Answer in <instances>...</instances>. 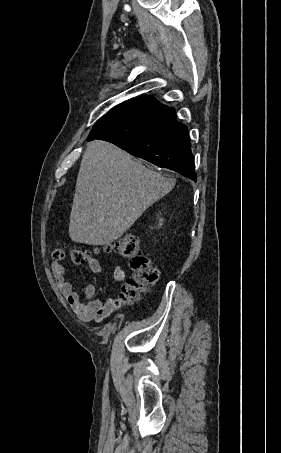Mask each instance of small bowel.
I'll use <instances>...</instances> for the list:
<instances>
[{"instance_id": "small-bowel-1", "label": "small bowel", "mask_w": 281, "mask_h": 453, "mask_svg": "<svg viewBox=\"0 0 281 453\" xmlns=\"http://www.w3.org/2000/svg\"><path fill=\"white\" fill-rule=\"evenodd\" d=\"M63 256H58L52 261V270L57 279V283L62 293L67 297L69 303L76 309L80 318L85 322L100 321L109 316L121 303L123 296L118 294L102 302L95 299L96 284L89 283L85 287L86 301L80 300L78 291L73 287L66 277V270L62 264ZM88 268L96 275H102L103 270L98 259L90 258L87 260ZM126 278L125 270L122 266L114 269V280L117 283H123Z\"/></svg>"}]
</instances>
